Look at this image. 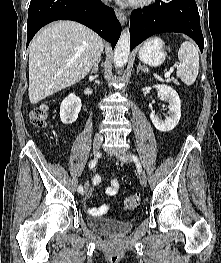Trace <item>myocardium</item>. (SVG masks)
I'll use <instances>...</instances> for the list:
<instances>
[{"mask_svg": "<svg viewBox=\"0 0 221 263\" xmlns=\"http://www.w3.org/2000/svg\"><path fill=\"white\" fill-rule=\"evenodd\" d=\"M156 0H135L134 1V5L136 7H147L150 6L151 4H153Z\"/></svg>", "mask_w": 221, "mask_h": 263, "instance_id": "1", "label": "myocardium"}]
</instances>
